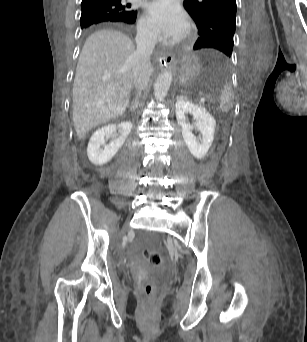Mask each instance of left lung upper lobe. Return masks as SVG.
Instances as JSON below:
<instances>
[{
	"label": "left lung upper lobe",
	"mask_w": 307,
	"mask_h": 342,
	"mask_svg": "<svg viewBox=\"0 0 307 342\" xmlns=\"http://www.w3.org/2000/svg\"><path fill=\"white\" fill-rule=\"evenodd\" d=\"M184 7L198 28L194 50L213 48L230 56L236 28V0H187Z\"/></svg>",
	"instance_id": "1"
}]
</instances>
